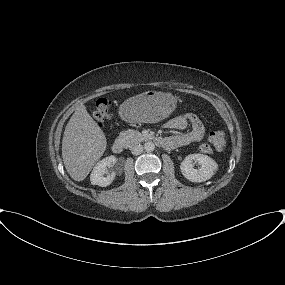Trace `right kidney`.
Listing matches in <instances>:
<instances>
[{
  "label": "right kidney",
  "instance_id": "obj_1",
  "mask_svg": "<svg viewBox=\"0 0 285 285\" xmlns=\"http://www.w3.org/2000/svg\"><path fill=\"white\" fill-rule=\"evenodd\" d=\"M116 162H117V159L113 155L100 160L95 165L90 175L91 184L98 185L101 187L109 186L115 179L116 174L115 172H112L111 174L108 173L107 167L114 166ZM105 174L107 175L104 176Z\"/></svg>",
  "mask_w": 285,
  "mask_h": 285
}]
</instances>
